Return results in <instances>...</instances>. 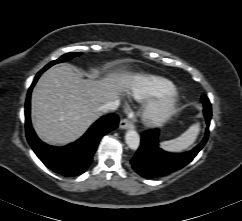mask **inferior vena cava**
I'll use <instances>...</instances> for the list:
<instances>
[{"instance_id":"1","label":"inferior vena cava","mask_w":242,"mask_h":221,"mask_svg":"<svg viewBox=\"0 0 242 221\" xmlns=\"http://www.w3.org/2000/svg\"><path fill=\"white\" fill-rule=\"evenodd\" d=\"M118 105H119L118 101H109V102H106L105 104H103L99 108V110L102 111V112H105V113L114 112V111L117 110Z\"/></svg>"}]
</instances>
